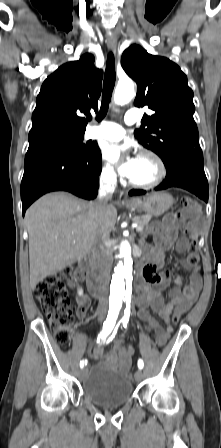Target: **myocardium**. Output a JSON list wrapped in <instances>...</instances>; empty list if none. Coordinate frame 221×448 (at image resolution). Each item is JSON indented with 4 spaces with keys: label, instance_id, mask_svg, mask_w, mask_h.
Returning <instances> with one entry per match:
<instances>
[{
    "label": "myocardium",
    "instance_id": "obj_1",
    "mask_svg": "<svg viewBox=\"0 0 221 448\" xmlns=\"http://www.w3.org/2000/svg\"><path fill=\"white\" fill-rule=\"evenodd\" d=\"M140 157L150 158L154 162L156 170H157V175L155 176V178H153L152 180H149V181L141 182V181H136V180L130 179L129 183L132 186L138 187V188H153V187L160 185L165 180V178L168 174V168H167V165H166L165 161L163 160V158L155 151H152L149 149H145V150L141 151Z\"/></svg>",
    "mask_w": 221,
    "mask_h": 448
}]
</instances>
